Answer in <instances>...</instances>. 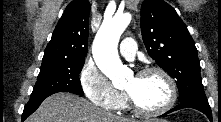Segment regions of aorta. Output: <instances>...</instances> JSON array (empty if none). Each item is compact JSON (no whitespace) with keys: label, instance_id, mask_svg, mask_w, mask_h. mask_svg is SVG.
Returning a JSON list of instances; mask_svg holds the SVG:
<instances>
[{"label":"aorta","instance_id":"obj_1","mask_svg":"<svg viewBox=\"0 0 221 122\" xmlns=\"http://www.w3.org/2000/svg\"><path fill=\"white\" fill-rule=\"evenodd\" d=\"M130 21L131 15L129 13L116 14L112 19L103 22L93 42L94 60L115 87L126 84L128 69L119 58L117 45Z\"/></svg>","mask_w":221,"mask_h":122}]
</instances>
